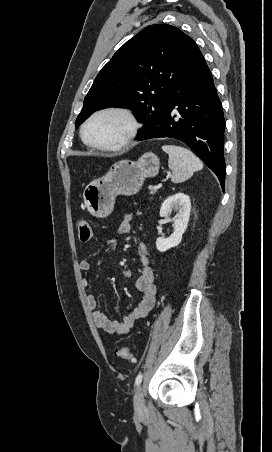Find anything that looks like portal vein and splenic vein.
I'll return each instance as SVG.
<instances>
[{"label":"portal vein and splenic vein","instance_id":"portal-vein-and-splenic-vein-1","mask_svg":"<svg viewBox=\"0 0 272 452\" xmlns=\"http://www.w3.org/2000/svg\"><path fill=\"white\" fill-rule=\"evenodd\" d=\"M160 187H161V184H158V185H155V186L153 187V189H154V190H158Z\"/></svg>","mask_w":272,"mask_h":452}]
</instances>
